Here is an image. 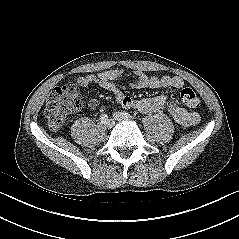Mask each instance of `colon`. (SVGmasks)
Segmentation results:
<instances>
[{
	"label": "colon",
	"instance_id": "1",
	"mask_svg": "<svg viewBox=\"0 0 239 239\" xmlns=\"http://www.w3.org/2000/svg\"><path fill=\"white\" fill-rule=\"evenodd\" d=\"M180 97L188 108L195 109L199 106V98L190 87L183 88ZM81 104L78 89L73 83L54 88L44 107V116L47 119L49 129L55 132L59 131L71 114L81 107Z\"/></svg>",
	"mask_w": 239,
	"mask_h": 239
}]
</instances>
